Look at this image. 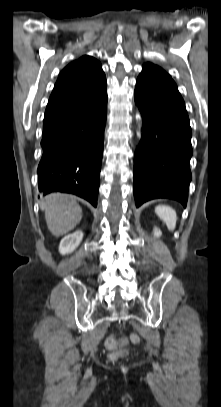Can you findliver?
I'll list each match as a JSON object with an SVG mask.
<instances>
[{
	"mask_svg": "<svg viewBox=\"0 0 221 407\" xmlns=\"http://www.w3.org/2000/svg\"><path fill=\"white\" fill-rule=\"evenodd\" d=\"M45 220L51 234L63 236L73 230L82 219V209L76 199L68 194L52 193L41 202Z\"/></svg>",
	"mask_w": 221,
	"mask_h": 407,
	"instance_id": "1",
	"label": "liver"
}]
</instances>
